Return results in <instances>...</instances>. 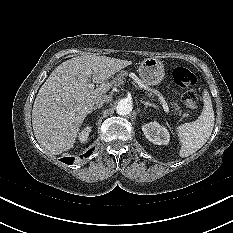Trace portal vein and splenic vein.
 <instances>
[{
	"mask_svg": "<svg viewBox=\"0 0 233 233\" xmlns=\"http://www.w3.org/2000/svg\"><path fill=\"white\" fill-rule=\"evenodd\" d=\"M87 74H90V75H91L92 72H91V71H88ZM131 77H132V78L134 79V81L139 85L140 88H144V89L147 88V87L140 81V79H139L138 77H136L135 75H132ZM88 87H89L90 89H94V84L91 83V84L88 85ZM155 92H156V94L158 95V97H159V99H160V101H161V103H162V106H163L164 111H165V112H169L168 105H167L165 99L163 98V96H162L157 90H155Z\"/></svg>",
	"mask_w": 233,
	"mask_h": 233,
	"instance_id": "obj_1",
	"label": "portal vein and splenic vein"
}]
</instances>
